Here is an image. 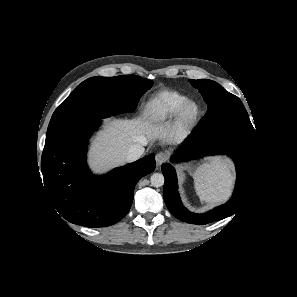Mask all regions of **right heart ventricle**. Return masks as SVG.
I'll list each match as a JSON object with an SVG mask.
<instances>
[{
    "label": "right heart ventricle",
    "mask_w": 297,
    "mask_h": 297,
    "mask_svg": "<svg viewBox=\"0 0 297 297\" xmlns=\"http://www.w3.org/2000/svg\"><path fill=\"white\" fill-rule=\"evenodd\" d=\"M187 101L189 98L177 91H163L149 101L147 114L155 121H165L176 116Z\"/></svg>",
    "instance_id": "obj_1"
}]
</instances>
